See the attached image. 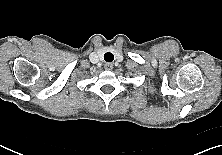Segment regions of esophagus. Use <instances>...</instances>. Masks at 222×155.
<instances>
[{
    "label": "esophagus",
    "mask_w": 222,
    "mask_h": 155,
    "mask_svg": "<svg viewBox=\"0 0 222 155\" xmlns=\"http://www.w3.org/2000/svg\"><path fill=\"white\" fill-rule=\"evenodd\" d=\"M104 68H105V70H112L113 64L112 63H105Z\"/></svg>",
    "instance_id": "34e87169"
}]
</instances>
